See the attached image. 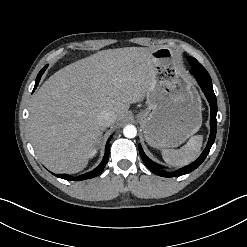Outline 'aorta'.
I'll use <instances>...</instances> for the list:
<instances>
[{
    "instance_id": "obj_1",
    "label": "aorta",
    "mask_w": 247,
    "mask_h": 247,
    "mask_svg": "<svg viewBox=\"0 0 247 247\" xmlns=\"http://www.w3.org/2000/svg\"><path fill=\"white\" fill-rule=\"evenodd\" d=\"M123 134L126 138H134L137 135V129L134 125H127L123 129Z\"/></svg>"
}]
</instances>
